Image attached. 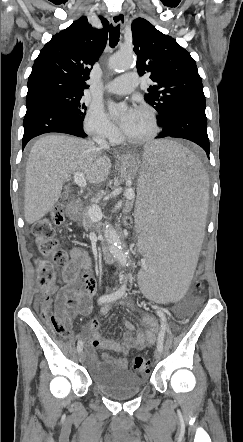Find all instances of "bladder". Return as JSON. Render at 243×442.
I'll return each instance as SVG.
<instances>
[{
  "label": "bladder",
  "instance_id": "obj_1",
  "mask_svg": "<svg viewBox=\"0 0 243 442\" xmlns=\"http://www.w3.org/2000/svg\"><path fill=\"white\" fill-rule=\"evenodd\" d=\"M89 376L101 393L114 400H127L138 395L145 384L135 372L104 357L91 363Z\"/></svg>",
  "mask_w": 243,
  "mask_h": 442
}]
</instances>
